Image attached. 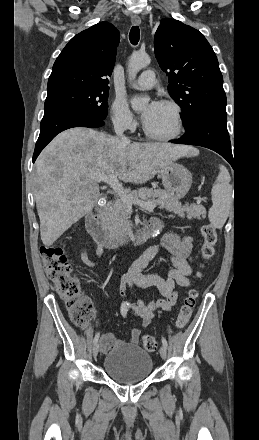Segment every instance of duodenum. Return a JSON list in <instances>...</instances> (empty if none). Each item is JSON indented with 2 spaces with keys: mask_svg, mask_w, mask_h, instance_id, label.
I'll use <instances>...</instances> for the list:
<instances>
[{
  "mask_svg": "<svg viewBox=\"0 0 259 440\" xmlns=\"http://www.w3.org/2000/svg\"><path fill=\"white\" fill-rule=\"evenodd\" d=\"M112 206L108 201L86 217V228L93 239L107 248L122 245H137L152 237L160 228L159 222L151 218L136 230L129 233L110 232L105 226L106 214Z\"/></svg>",
  "mask_w": 259,
  "mask_h": 440,
  "instance_id": "duodenum-1",
  "label": "duodenum"
}]
</instances>
